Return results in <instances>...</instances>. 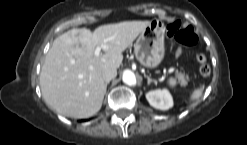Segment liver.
<instances>
[{"label": "liver", "mask_w": 247, "mask_h": 145, "mask_svg": "<svg viewBox=\"0 0 247 145\" xmlns=\"http://www.w3.org/2000/svg\"><path fill=\"white\" fill-rule=\"evenodd\" d=\"M150 22L107 24L97 27L94 32L73 28L58 36L40 73V87L46 104L64 116L88 118L95 115L106 92L103 69H118L123 60L122 52ZM98 46H105V53L96 57L94 51Z\"/></svg>", "instance_id": "1"}]
</instances>
